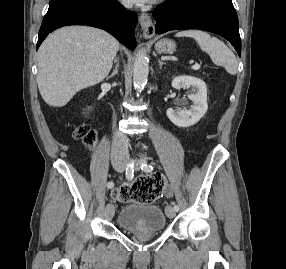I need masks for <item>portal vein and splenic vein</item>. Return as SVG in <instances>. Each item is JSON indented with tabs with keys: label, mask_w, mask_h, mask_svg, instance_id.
Segmentation results:
<instances>
[{
	"label": "portal vein and splenic vein",
	"mask_w": 286,
	"mask_h": 269,
	"mask_svg": "<svg viewBox=\"0 0 286 269\" xmlns=\"http://www.w3.org/2000/svg\"><path fill=\"white\" fill-rule=\"evenodd\" d=\"M200 68V65L198 63H195L193 66H192V69L193 70H198Z\"/></svg>",
	"instance_id": "portal-vein-and-splenic-vein-1"
}]
</instances>
